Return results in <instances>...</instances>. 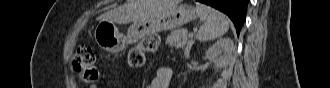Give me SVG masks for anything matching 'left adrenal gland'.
I'll list each match as a JSON object with an SVG mask.
<instances>
[{"label":"left adrenal gland","instance_id":"1","mask_svg":"<svg viewBox=\"0 0 330 88\" xmlns=\"http://www.w3.org/2000/svg\"><path fill=\"white\" fill-rule=\"evenodd\" d=\"M193 44H194V41H193V39L191 38V44L188 45V47H187V49H186V52H185L186 55L190 53V49H191V47H192Z\"/></svg>","mask_w":330,"mask_h":88}]
</instances>
